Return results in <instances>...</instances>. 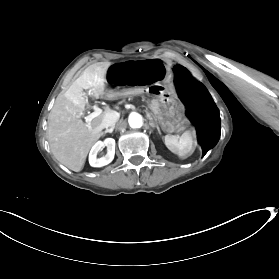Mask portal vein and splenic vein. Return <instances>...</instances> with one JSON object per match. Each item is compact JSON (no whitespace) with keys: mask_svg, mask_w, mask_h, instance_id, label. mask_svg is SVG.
<instances>
[{"mask_svg":"<svg viewBox=\"0 0 279 279\" xmlns=\"http://www.w3.org/2000/svg\"><path fill=\"white\" fill-rule=\"evenodd\" d=\"M91 109L94 111L88 116L85 117L86 123H90L95 117L99 116L102 113V109H100L96 104L91 106Z\"/></svg>","mask_w":279,"mask_h":279,"instance_id":"portal-vein-and-splenic-vein-1","label":"portal vein and splenic vein"}]
</instances>
